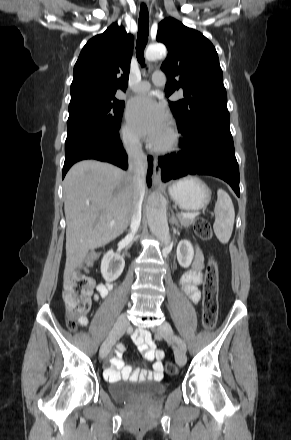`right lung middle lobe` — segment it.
Instances as JSON below:
<instances>
[{
  "label": "right lung middle lobe",
  "mask_w": 291,
  "mask_h": 440,
  "mask_svg": "<svg viewBox=\"0 0 291 440\" xmlns=\"http://www.w3.org/2000/svg\"><path fill=\"white\" fill-rule=\"evenodd\" d=\"M124 101L115 96L84 97L69 104L67 127L89 126L101 130L120 127Z\"/></svg>",
  "instance_id": "dd1d6c3e"
}]
</instances>
